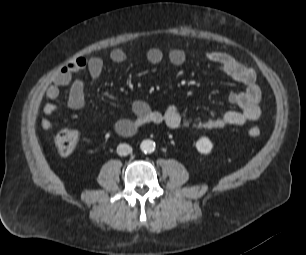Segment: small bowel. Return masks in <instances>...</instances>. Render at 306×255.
<instances>
[{
	"label": "small bowel",
	"mask_w": 306,
	"mask_h": 255,
	"mask_svg": "<svg viewBox=\"0 0 306 255\" xmlns=\"http://www.w3.org/2000/svg\"><path fill=\"white\" fill-rule=\"evenodd\" d=\"M165 58L174 66H182L187 59L186 53L179 48H170L166 53L158 47H152L146 52V59L153 65L160 64ZM110 59L117 64L126 61L127 54L121 48H115L110 52ZM205 59L215 65L225 75L243 84L244 90L231 92L229 102L237 106L238 110H228L221 114L212 115L206 119L193 122L186 121L178 107L168 106L164 111H155L144 101L137 100L132 104V117L117 121L115 129L118 134L128 136L146 124H164L177 129L190 127L201 130L223 129L227 126H241L247 122L257 120L261 115L260 101L261 90L256 83L254 70L244 65L235 56L223 51H210L205 54ZM105 69L104 60L101 57H76L67 65L60 68L52 78L51 85L46 89L48 99L54 101L60 96V89L69 87L67 104L73 110H79L85 105L84 82L76 75L87 71L90 77L97 80L102 77ZM111 99L116 98L114 93H108ZM56 111L54 103H47L43 108L46 118L41 122L45 130L52 127L48 118Z\"/></svg>",
	"instance_id": "obj_1"
}]
</instances>
